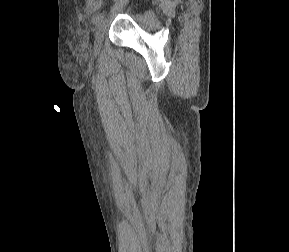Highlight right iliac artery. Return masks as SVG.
<instances>
[{"mask_svg":"<svg viewBox=\"0 0 289 252\" xmlns=\"http://www.w3.org/2000/svg\"><path fill=\"white\" fill-rule=\"evenodd\" d=\"M103 18H104V13L103 12L99 13L96 16L95 25L98 26L103 21Z\"/></svg>","mask_w":289,"mask_h":252,"instance_id":"1","label":"right iliac artery"}]
</instances>
